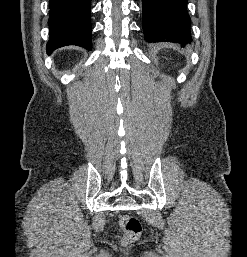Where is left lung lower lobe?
Segmentation results:
<instances>
[{
    "instance_id": "obj_1",
    "label": "left lung lower lobe",
    "mask_w": 247,
    "mask_h": 257,
    "mask_svg": "<svg viewBox=\"0 0 247 257\" xmlns=\"http://www.w3.org/2000/svg\"><path fill=\"white\" fill-rule=\"evenodd\" d=\"M188 0H142L143 32L148 42H172L185 46L192 41Z\"/></svg>"
}]
</instances>
